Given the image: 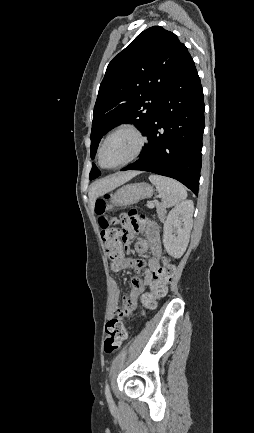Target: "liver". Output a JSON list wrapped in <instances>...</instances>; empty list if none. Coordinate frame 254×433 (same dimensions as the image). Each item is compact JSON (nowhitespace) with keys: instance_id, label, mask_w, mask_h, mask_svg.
Instances as JSON below:
<instances>
[{"instance_id":"liver-1","label":"liver","mask_w":254,"mask_h":433,"mask_svg":"<svg viewBox=\"0 0 254 433\" xmlns=\"http://www.w3.org/2000/svg\"><path fill=\"white\" fill-rule=\"evenodd\" d=\"M138 174L139 172L137 171H128L118 175L108 176L94 182L88 193L91 209L94 210L95 202L98 197L128 182Z\"/></svg>"}]
</instances>
